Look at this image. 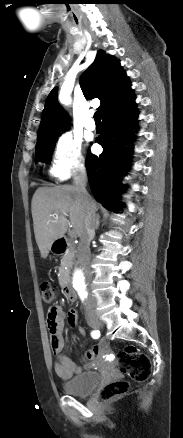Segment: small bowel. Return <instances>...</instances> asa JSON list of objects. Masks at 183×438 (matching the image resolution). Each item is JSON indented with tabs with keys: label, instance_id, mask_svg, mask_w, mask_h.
<instances>
[{
	"label": "small bowel",
	"instance_id": "obj_1",
	"mask_svg": "<svg viewBox=\"0 0 183 438\" xmlns=\"http://www.w3.org/2000/svg\"><path fill=\"white\" fill-rule=\"evenodd\" d=\"M66 314L59 306L52 307L47 314V327L50 333V344L53 354L56 356L54 370L57 376L63 380L71 378L73 375L81 372V368L77 366L68 356L63 354L64 339L63 329L65 324ZM69 323L74 326L77 322V312L72 309L68 313ZM79 332L84 334V330L79 328ZM103 342L94 346L86 353V358L94 359L104 349Z\"/></svg>",
	"mask_w": 183,
	"mask_h": 438
}]
</instances>
